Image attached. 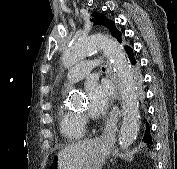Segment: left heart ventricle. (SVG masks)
I'll return each mask as SVG.
<instances>
[{
  "label": "left heart ventricle",
  "instance_id": "1",
  "mask_svg": "<svg viewBox=\"0 0 177 169\" xmlns=\"http://www.w3.org/2000/svg\"><path fill=\"white\" fill-rule=\"evenodd\" d=\"M86 111V108L84 107L80 112L83 113Z\"/></svg>",
  "mask_w": 177,
  "mask_h": 169
}]
</instances>
